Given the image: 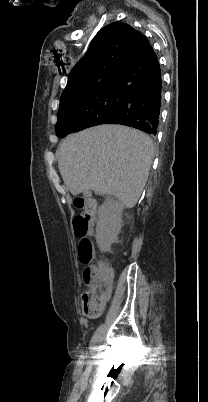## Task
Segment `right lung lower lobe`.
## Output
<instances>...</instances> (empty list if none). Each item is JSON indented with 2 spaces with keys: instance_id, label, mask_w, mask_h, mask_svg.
I'll list each match as a JSON object with an SVG mask.
<instances>
[{
  "instance_id": "right-lung-lower-lobe-1",
  "label": "right lung lower lobe",
  "mask_w": 208,
  "mask_h": 402,
  "mask_svg": "<svg viewBox=\"0 0 208 402\" xmlns=\"http://www.w3.org/2000/svg\"><path fill=\"white\" fill-rule=\"evenodd\" d=\"M113 83L117 87L119 97L117 107L113 111L60 122L56 134L64 137L95 125L121 124L155 135L162 101L161 70L157 56L147 39L115 77Z\"/></svg>"
}]
</instances>
